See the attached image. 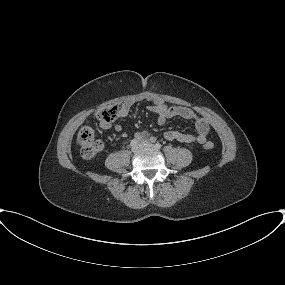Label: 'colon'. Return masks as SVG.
Returning a JSON list of instances; mask_svg holds the SVG:
<instances>
[{
  "instance_id": "5ec220e1",
  "label": "colon",
  "mask_w": 285,
  "mask_h": 285,
  "mask_svg": "<svg viewBox=\"0 0 285 285\" xmlns=\"http://www.w3.org/2000/svg\"><path fill=\"white\" fill-rule=\"evenodd\" d=\"M123 108L119 104L106 106L97 112V118L104 124H110L118 119L122 114ZM77 141L80 147L81 156L85 159L95 158L102 150V142L96 138L95 132L91 127H83L79 130ZM204 148L212 150L214 143L208 141L204 144Z\"/></svg>"
}]
</instances>
